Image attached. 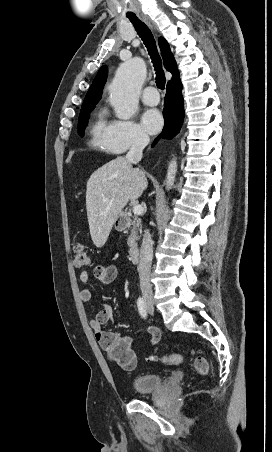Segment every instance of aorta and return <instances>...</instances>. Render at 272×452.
Here are the masks:
<instances>
[{
    "instance_id": "1",
    "label": "aorta",
    "mask_w": 272,
    "mask_h": 452,
    "mask_svg": "<svg viewBox=\"0 0 272 452\" xmlns=\"http://www.w3.org/2000/svg\"><path fill=\"white\" fill-rule=\"evenodd\" d=\"M146 77V66L139 57L121 64L111 84L110 103L119 119L128 120L138 109L141 86ZM177 172V163L173 159L168 166L166 189L172 188Z\"/></svg>"
}]
</instances>
